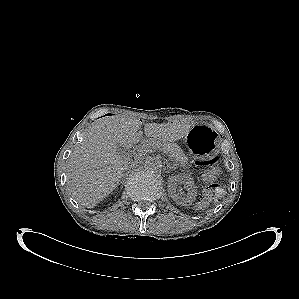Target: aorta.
I'll return each instance as SVG.
<instances>
[{
	"mask_svg": "<svg viewBox=\"0 0 299 299\" xmlns=\"http://www.w3.org/2000/svg\"><path fill=\"white\" fill-rule=\"evenodd\" d=\"M144 167L149 172H157L162 168V162L156 157H150L145 161Z\"/></svg>",
	"mask_w": 299,
	"mask_h": 299,
	"instance_id": "obj_1",
	"label": "aorta"
}]
</instances>
